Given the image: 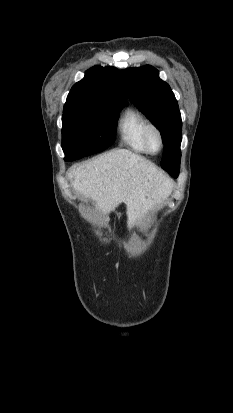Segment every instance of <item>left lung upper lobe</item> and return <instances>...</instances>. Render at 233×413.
Masks as SVG:
<instances>
[{"instance_id":"left-lung-upper-lobe-1","label":"left lung upper lobe","mask_w":233,"mask_h":413,"mask_svg":"<svg viewBox=\"0 0 233 413\" xmlns=\"http://www.w3.org/2000/svg\"><path fill=\"white\" fill-rule=\"evenodd\" d=\"M128 98L160 130L165 147L162 168L172 176L179 171L182 121L170 86L150 65L122 70Z\"/></svg>"}]
</instances>
